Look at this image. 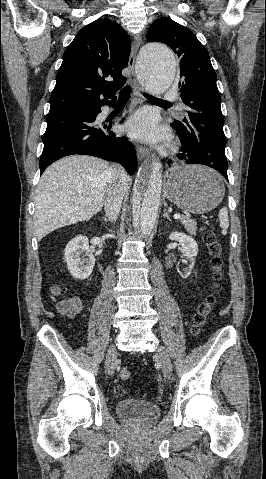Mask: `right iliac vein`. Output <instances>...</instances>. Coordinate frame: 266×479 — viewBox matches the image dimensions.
Here are the masks:
<instances>
[{
    "mask_svg": "<svg viewBox=\"0 0 266 479\" xmlns=\"http://www.w3.org/2000/svg\"><path fill=\"white\" fill-rule=\"evenodd\" d=\"M117 356V350L115 345H111L105 361V369L107 373H112L115 369V360Z\"/></svg>",
    "mask_w": 266,
    "mask_h": 479,
    "instance_id": "obj_1",
    "label": "right iliac vein"
}]
</instances>
